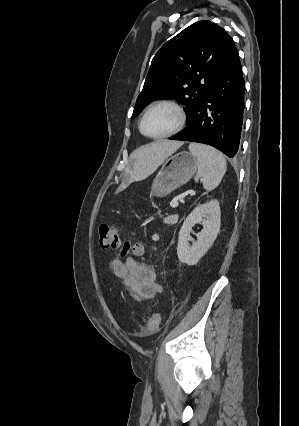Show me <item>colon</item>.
Listing matches in <instances>:
<instances>
[{"instance_id":"obj_1","label":"colon","mask_w":299,"mask_h":426,"mask_svg":"<svg viewBox=\"0 0 299 426\" xmlns=\"http://www.w3.org/2000/svg\"><path fill=\"white\" fill-rule=\"evenodd\" d=\"M99 245L104 252L120 249L122 256L128 254L139 256L143 253L141 245H132L129 241H122L118 229L107 223L101 224L99 227ZM159 324L160 316L154 313L145 322L143 332L147 335L154 334Z\"/></svg>"}]
</instances>
